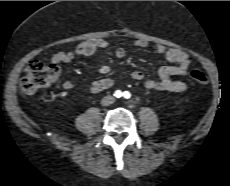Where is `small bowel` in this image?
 Returning <instances> with one entry per match:
<instances>
[{
  "label": "small bowel",
  "mask_w": 230,
  "mask_h": 186,
  "mask_svg": "<svg viewBox=\"0 0 230 186\" xmlns=\"http://www.w3.org/2000/svg\"><path fill=\"white\" fill-rule=\"evenodd\" d=\"M108 42L104 39H90L79 44L73 51H60L55 53L51 57V61L54 63H68L77 57H92L97 54L99 49L106 48ZM147 43L144 40H137L135 46L138 48L146 47ZM157 53L164 57L171 64L161 66L158 70V79H148L145 81L144 86L148 90L166 91V92H182L188 87L184 81H174L171 79L175 75H187L191 66L190 55L181 51L175 47H166L163 44L156 46ZM115 55L119 59H123L126 56V50L122 47L117 48ZM98 72L104 77L92 82L90 84V91L92 93H98L103 90L109 89L114 85V80L107 75L110 73V66L101 62L98 67ZM131 77L134 80L141 81L145 78L144 73L141 71H134L131 73ZM74 87L71 81H64L62 88L66 91L72 90Z\"/></svg>",
  "instance_id": "1"
}]
</instances>
